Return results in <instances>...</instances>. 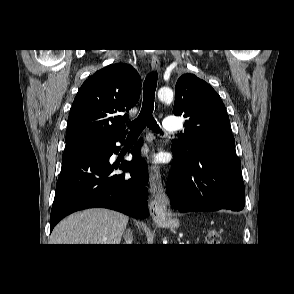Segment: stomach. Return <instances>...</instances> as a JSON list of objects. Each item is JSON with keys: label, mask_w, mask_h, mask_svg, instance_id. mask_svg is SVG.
Returning <instances> with one entry per match:
<instances>
[{"label": "stomach", "mask_w": 294, "mask_h": 294, "mask_svg": "<svg viewBox=\"0 0 294 294\" xmlns=\"http://www.w3.org/2000/svg\"><path fill=\"white\" fill-rule=\"evenodd\" d=\"M163 225L175 228L178 226V221L172 220V219H167V220L163 221Z\"/></svg>", "instance_id": "0dacf381"}]
</instances>
